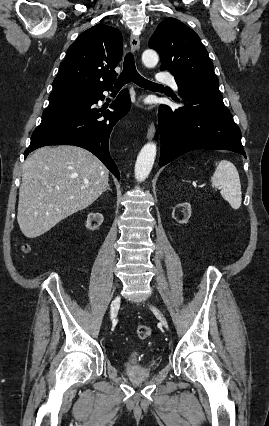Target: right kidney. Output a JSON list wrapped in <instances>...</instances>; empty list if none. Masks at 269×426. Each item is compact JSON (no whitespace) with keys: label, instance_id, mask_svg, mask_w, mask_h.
Wrapping results in <instances>:
<instances>
[{"label":"right kidney","instance_id":"obj_1","mask_svg":"<svg viewBox=\"0 0 269 426\" xmlns=\"http://www.w3.org/2000/svg\"><path fill=\"white\" fill-rule=\"evenodd\" d=\"M103 215L100 213H90L86 221V228H89V233H94L97 229H102ZM95 229V230H94Z\"/></svg>","mask_w":269,"mask_h":426}]
</instances>
